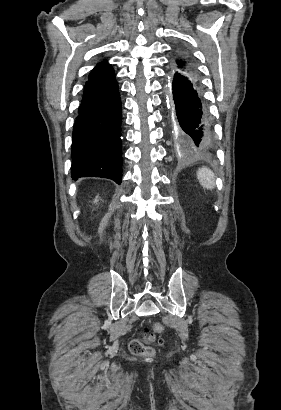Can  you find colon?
I'll return each instance as SVG.
<instances>
[{"instance_id": "5ec220e1", "label": "colon", "mask_w": 281, "mask_h": 410, "mask_svg": "<svg viewBox=\"0 0 281 410\" xmlns=\"http://www.w3.org/2000/svg\"><path fill=\"white\" fill-rule=\"evenodd\" d=\"M163 324L156 322L149 329H143V339L134 338L129 342V350L135 356H150L153 351L147 343L162 342L161 335L164 332Z\"/></svg>"}]
</instances>
